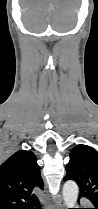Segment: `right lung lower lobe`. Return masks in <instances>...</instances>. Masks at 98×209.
<instances>
[{"mask_svg":"<svg viewBox=\"0 0 98 209\" xmlns=\"http://www.w3.org/2000/svg\"><path fill=\"white\" fill-rule=\"evenodd\" d=\"M36 204H37V203H36ZM36 204H34V205H32L31 207H29V209H33V208H34V206H35Z\"/></svg>","mask_w":98,"mask_h":209,"instance_id":"obj_1","label":"right lung lower lobe"}]
</instances>
